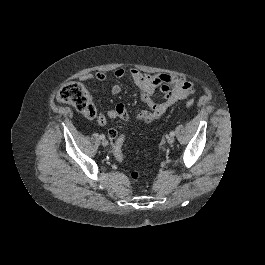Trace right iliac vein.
<instances>
[{
	"label": "right iliac vein",
	"mask_w": 265,
	"mask_h": 265,
	"mask_svg": "<svg viewBox=\"0 0 265 265\" xmlns=\"http://www.w3.org/2000/svg\"><path fill=\"white\" fill-rule=\"evenodd\" d=\"M102 146L107 147L108 146V141L106 139L102 140Z\"/></svg>",
	"instance_id": "1"
}]
</instances>
